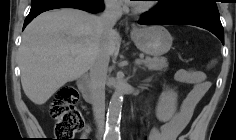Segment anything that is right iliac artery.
I'll use <instances>...</instances> for the list:
<instances>
[{
    "mask_svg": "<svg viewBox=\"0 0 236 140\" xmlns=\"http://www.w3.org/2000/svg\"><path fill=\"white\" fill-rule=\"evenodd\" d=\"M103 140H110V138H109V137H107V138H106V137H104V138H103Z\"/></svg>",
    "mask_w": 236,
    "mask_h": 140,
    "instance_id": "obj_1",
    "label": "right iliac artery"
}]
</instances>
